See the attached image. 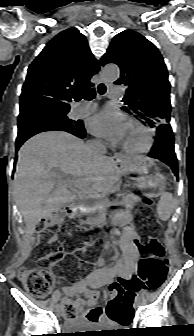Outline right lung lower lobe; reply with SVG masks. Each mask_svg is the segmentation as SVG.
Returning a JSON list of instances; mask_svg holds the SVG:
<instances>
[{
	"instance_id": "right-lung-lower-lobe-1",
	"label": "right lung lower lobe",
	"mask_w": 194,
	"mask_h": 336,
	"mask_svg": "<svg viewBox=\"0 0 194 336\" xmlns=\"http://www.w3.org/2000/svg\"><path fill=\"white\" fill-rule=\"evenodd\" d=\"M53 130H57V131H66L69 132L79 138H84L86 136V131L84 129L83 123L81 122V126L79 128H73V129H46V130H38V131H33V132H28V133H23L21 135L17 136L16 139V152L18 151V149L20 148V146L30 137L34 136L35 134H38L40 132H44V131H53Z\"/></svg>"
}]
</instances>
